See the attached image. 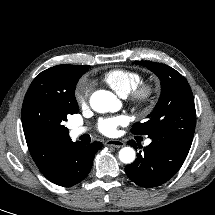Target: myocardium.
Segmentation results:
<instances>
[{
    "label": "myocardium",
    "instance_id": "myocardium-1",
    "mask_svg": "<svg viewBox=\"0 0 215 215\" xmlns=\"http://www.w3.org/2000/svg\"><path fill=\"white\" fill-rule=\"evenodd\" d=\"M158 91L159 87L155 82H140L127 97L135 108L148 110L154 104Z\"/></svg>",
    "mask_w": 215,
    "mask_h": 215
}]
</instances>
